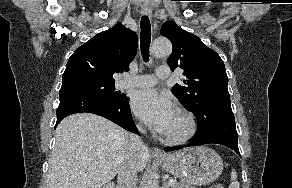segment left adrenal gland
Here are the masks:
<instances>
[{"instance_id":"obj_1","label":"left adrenal gland","mask_w":292,"mask_h":188,"mask_svg":"<svg viewBox=\"0 0 292 188\" xmlns=\"http://www.w3.org/2000/svg\"><path fill=\"white\" fill-rule=\"evenodd\" d=\"M162 188H169V186L167 185L166 181L163 182Z\"/></svg>"}]
</instances>
